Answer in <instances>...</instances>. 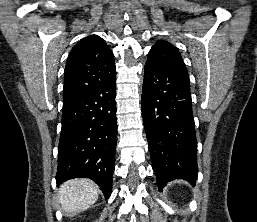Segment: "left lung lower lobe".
<instances>
[{
	"label": "left lung lower lobe",
	"mask_w": 257,
	"mask_h": 222,
	"mask_svg": "<svg viewBox=\"0 0 257 222\" xmlns=\"http://www.w3.org/2000/svg\"><path fill=\"white\" fill-rule=\"evenodd\" d=\"M144 71L142 116L158 186L176 178L194 185L197 140L189 78L148 60Z\"/></svg>",
	"instance_id": "obj_1"
}]
</instances>
